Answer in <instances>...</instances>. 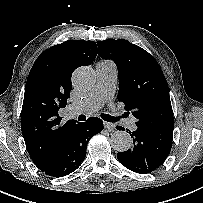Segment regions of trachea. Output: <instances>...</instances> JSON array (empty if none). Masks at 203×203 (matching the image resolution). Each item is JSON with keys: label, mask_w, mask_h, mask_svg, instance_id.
<instances>
[{"label": "trachea", "mask_w": 203, "mask_h": 203, "mask_svg": "<svg viewBox=\"0 0 203 203\" xmlns=\"http://www.w3.org/2000/svg\"><path fill=\"white\" fill-rule=\"evenodd\" d=\"M101 118L107 122H117L119 121V117H114L109 114H101ZM86 119L85 115H79L78 120L84 121Z\"/></svg>", "instance_id": "1"}]
</instances>
